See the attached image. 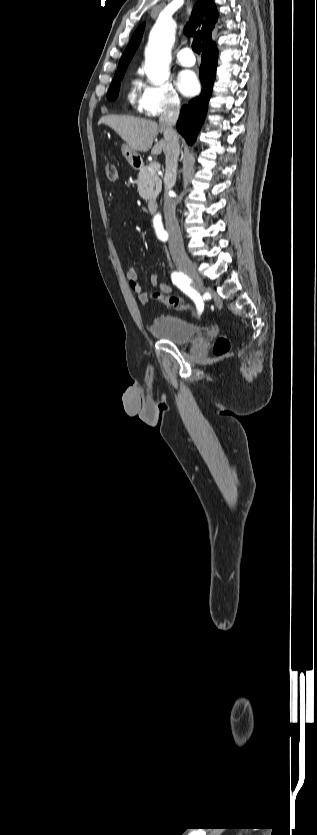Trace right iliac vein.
<instances>
[{
    "label": "right iliac vein",
    "mask_w": 317,
    "mask_h": 835,
    "mask_svg": "<svg viewBox=\"0 0 317 835\" xmlns=\"http://www.w3.org/2000/svg\"><path fill=\"white\" fill-rule=\"evenodd\" d=\"M177 267L185 272L193 281V286L197 291L204 289L202 279L196 269L195 264L188 257H179L175 260Z\"/></svg>",
    "instance_id": "right-iliac-vein-1"
}]
</instances>
